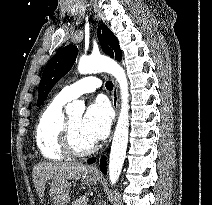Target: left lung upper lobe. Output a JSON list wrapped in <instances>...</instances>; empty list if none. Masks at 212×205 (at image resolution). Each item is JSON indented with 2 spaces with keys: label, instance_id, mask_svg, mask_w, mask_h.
Returning <instances> with one entry per match:
<instances>
[{
  "label": "left lung upper lobe",
  "instance_id": "obj_1",
  "mask_svg": "<svg viewBox=\"0 0 212 205\" xmlns=\"http://www.w3.org/2000/svg\"><path fill=\"white\" fill-rule=\"evenodd\" d=\"M97 36L103 52L116 60H121L122 51L118 40L107 26L101 25L97 30ZM78 54L74 45H68L60 49L47 63L39 84V98L37 105L40 106L47 98L53 86L71 69Z\"/></svg>",
  "mask_w": 212,
  "mask_h": 205
}]
</instances>
